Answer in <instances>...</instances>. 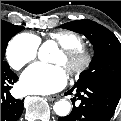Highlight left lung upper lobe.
<instances>
[{"label": "left lung upper lobe", "instance_id": "5c2ea615", "mask_svg": "<svg viewBox=\"0 0 121 121\" xmlns=\"http://www.w3.org/2000/svg\"><path fill=\"white\" fill-rule=\"evenodd\" d=\"M61 28L85 35L93 44L95 55L89 69L82 72L76 84L100 83L121 94V44L107 28L91 20H77Z\"/></svg>", "mask_w": 121, "mask_h": 121}]
</instances>
